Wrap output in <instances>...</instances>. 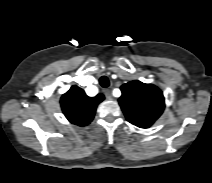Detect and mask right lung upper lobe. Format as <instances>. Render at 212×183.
<instances>
[{
	"instance_id": "cb5924a9",
	"label": "right lung upper lobe",
	"mask_w": 212,
	"mask_h": 183,
	"mask_svg": "<svg viewBox=\"0 0 212 183\" xmlns=\"http://www.w3.org/2000/svg\"><path fill=\"white\" fill-rule=\"evenodd\" d=\"M103 100V94L88 97L82 88L74 85L62 95L60 103L64 115L71 123L85 126L92 121L97 105Z\"/></svg>"
}]
</instances>
